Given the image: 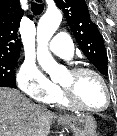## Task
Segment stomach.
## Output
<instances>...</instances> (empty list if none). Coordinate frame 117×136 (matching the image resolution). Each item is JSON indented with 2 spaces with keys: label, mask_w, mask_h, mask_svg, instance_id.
Segmentation results:
<instances>
[{
  "label": "stomach",
  "mask_w": 117,
  "mask_h": 136,
  "mask_svg": "<svg viewBox=\"0 0 117 136\" xmlns=\"http://www.w3.org/2000/svg\"><path fill=\"white\" fill-rule=\"evenodd\" d=\"M60 122L72 131L74 136H95L96 121L90 115L79 114L61 118Z\"/></svg>",
  "instance_id": "0dacf381"
}]
</instances>
